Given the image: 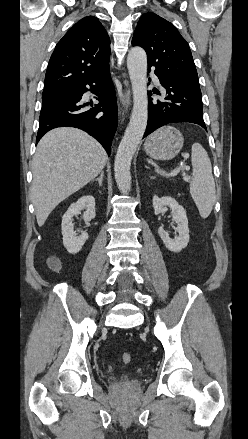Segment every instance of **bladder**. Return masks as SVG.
I'll list each match as a JSON object with an SVG mask.
<instances>
[{
    "label": "bladder",
    "mask_w": 248,
    "mask_h": 439,
    "mask_svg": "<svg viewBox=\"0 0 248 439\" xmlns=\"http://www.w3.org/2000/svg\"><path fill=\"white\" fill-rule=\"evenodd\" d=\"M133 380V376L132 375H125L122 379L121 382L122 383H129Z\"/></svg>",
    "instance_id": "bladder-1"
}]
</instances>
